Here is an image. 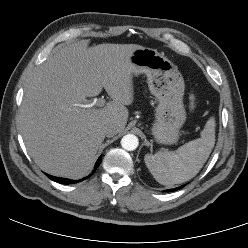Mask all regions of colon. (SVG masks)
<instances>
[{"mask_svg": "<svg viewBox=\"0 0 248 248\" xmlns=\"http://www.w3.org/2000/svg\"><path fill=\"white\" fill-rule=\"evenodd\" d=\"M190 108H194L195 107V105H196V97L194 96V95H191L190 96Z\"/></svg>", "mask_w": 248, "mask_h": 248, "instance_id": "5ec220e1", "label": "colon"}]
</instances>
